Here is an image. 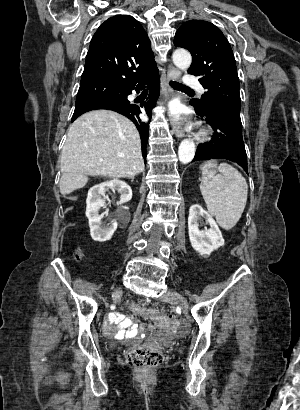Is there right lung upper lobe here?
I'll return each instance as SVG.
<instances>
[{
	"label": "right lung upper lobe",
	"mask_w": 300,
	"mask_h": 410,
	"mask_svg": "<svg viewBox=\"0 0 300 410\" xmlns=\"http://www.w3.org/2000/svg\"><path fill=\"white\" fill-rule=\"evenodd\" d=\"M151 42L141 24L131 16L106 20L94 34L81 82H102L129 90L158 76Z\"/></svg>",
	"instance_id": "right-lung-upper-lobe-1"
}]
</instances>
